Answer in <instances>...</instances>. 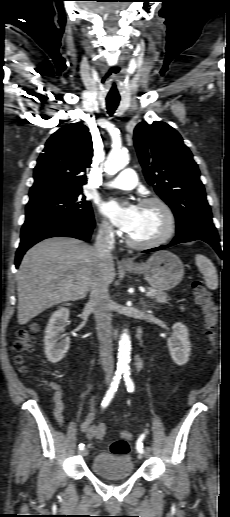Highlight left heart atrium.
<instances>
[{"label":"left heart atrium","mask_w":230,"mask_h":517,"mask_svg":"<svg viewBox=\"0 0 230 517\" xmlns=\"http://www.w3.org/2000/svg\"><path fill=\"white\" fill-rule=\"evenodd\" d=\"M101 211L107 215L115 225L127 233L133 230L139 216L138 206H122L115 200L103 203Z\"/></svg>","instance_id":"obj_1"}]
</instances>
